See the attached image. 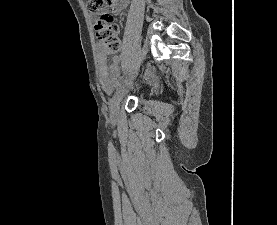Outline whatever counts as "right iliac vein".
I'll use <instances>...</instances> for the list:
<instances>
[{
	"label": "right iliac vein",
	"instance_id": "1",
	"mask_svg": "<svg viewBox=\"0 0 277 225\" xmlns=\"http://www.w3.org/2000/svg\"><path fill=\"white\" fill-rule=\"evenodd\" d=\"M134 79L131 81L126 87L120 89L112 98L111 106H110V117L115 120L118 116L120 103L124 97V95L133 87Z\"/></svg>",
	"mask_w": 277,
	"mask_h": 225
}]
</instances>
